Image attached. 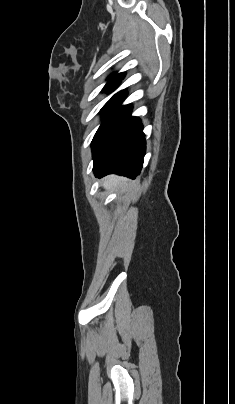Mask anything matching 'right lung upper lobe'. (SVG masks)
I'll return each instance as SVG.
<instances>
[{"instance_id": "obj_1", "label": "right lung upper lobe", "mask_w": 235, "mask_h": 404, "mask_svg": "<svg viewBox=\"0 0 235 404\" xmlns=\"http://www.w3.org/2000/svg\"><path fill=\"white\" fill-rule=\"evenodd\" d=\"M125 76V73H119L117 75H112L108 78V83L106 85H118L120 80H122Z\"/></svg>"}]
</instances>
